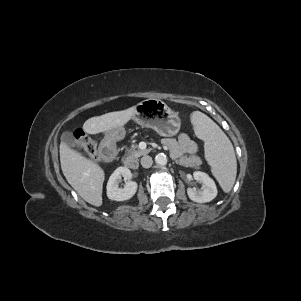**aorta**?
<instances>
[{
	"label": "aorta",
	"instance_id": "obj_1",
	"mask_svg": "<svg viewBox=\"0 0 301 301\" xmlns=\"http://www.w3.org/2000/svg\"><path fill=\"white\" fill-rule=\"evenodd\" d=\"M167 156L164 153H159L155 157V162L158 165L164 166L167 164Z\"/></svg>",
	"mask_w": 301,
	"mask_h": 301
}]
</instances>
